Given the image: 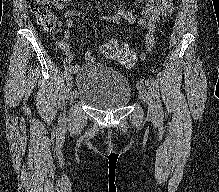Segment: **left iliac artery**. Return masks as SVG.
I'll return each mask as SVG.
<instances>
[{
    "label": "left iliac artery",
    "instance_id": "44dca946",
    "mask_svg": "<svg viewBox=\"0 0 219 192\" xmlns=\"http://www.w3.org/2000/svg\"><path fill=\"white\" fill-rule=\"evenodd\" d=\"M149 84L152 87L153 95L157 99V115H158V118L162 119L163 118V110H162V105H161V101H160V98H159L158 82L154 78H150L149 81H146V85H149Z\"/></svg>",
    "mask_w": 219,
    "mask_h": 192
}]
</instances>
